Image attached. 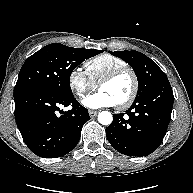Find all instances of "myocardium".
<instances>
[{
    "instance_id": "f54148a6",
    "label": "myocardium",
    "mask_w": 193,
    "mask_h": 193,
    "mask_svg": "<svg viewBox=\"0 0 193 193\" xmlns=\"http://www.w3.org/2000/svg\"><path fill=\"white\" fill-rule=\"evenodd\" d=\"M125 73H129L132 76L133 88H132V91H131L129 97L124 102L117 104V108L121 109V110L129 108L134 103V101L138 95L140 84H139L138 75L135 72V70L133 68H131L130 66L120 67V68H117V69L109 72L107 75H105L98 82V88H100L102 85L107 84V83L115 80L116 78H118L119 76H121L122 74H125Z\"/></svg>"
}]
</instances>
